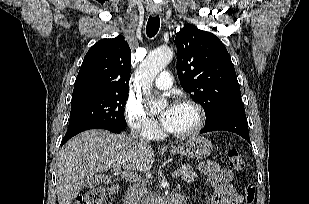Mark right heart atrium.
<instances>
[{
    "mask_svg": "<svg viewBox=\"0 0 309 204\" xmlns=\"http://www.w3.org/2000/svg\"><path fill=\"white\" fill-rule=\"evenodd\" d=\"M125 116L130 128L147 139L155 138L159 133L157 122L145 111L142 103L129 98L125 106Z\"/></svg>",
    "mask_w": 309,
    "mask_h": 204,
    "instance_id": "1",
    "label": "right heart atrium"
}]
</instances>
